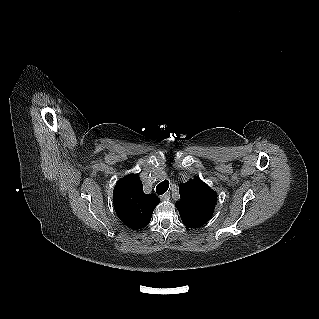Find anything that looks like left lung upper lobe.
I'll return each mask as SVG.
<instances>
[{
	"label": "left lung upper lobe",
	"mask_w": 319,
	"mask_h": 319,
	"mask_svg": "<svg viewBox=\"0 0 319 319\" xmlns=\"http://www.w3.org/2000/svg\"><path fill=\"white\" fill-rule=\"evenodd\" d=\"M180 200L176 207L183 224L189 228L204 225L213 215L217 194L201 179L179 186Z\"/></svg>",
	"instance_id": "obj_1"
}]
</instances>
